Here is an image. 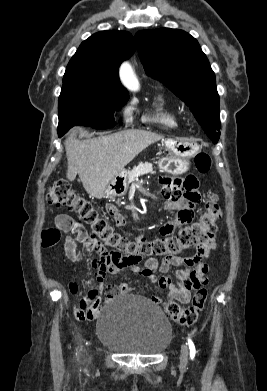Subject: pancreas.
<instances>
[{
  "mask_svg": "<svg viewBox=\"0 0 267 391\" xmlns=\"http://www.w3.org/2000/svg\"><path fill=\"white\" fill-rule=\"evenodd\" d=\"M148 173H155L151 163L145 162L140 163L138 166H135L128 175V183L134 182L140 175H145Z\"/></svg>",
  "mask_w": 267,
  "mask_h": 391,
  "instance_id": "obj_1",
  "label": "pancreas"
}]
</instances>
